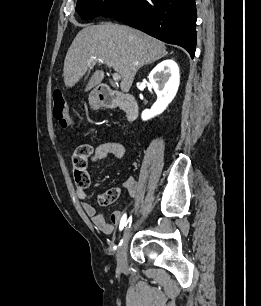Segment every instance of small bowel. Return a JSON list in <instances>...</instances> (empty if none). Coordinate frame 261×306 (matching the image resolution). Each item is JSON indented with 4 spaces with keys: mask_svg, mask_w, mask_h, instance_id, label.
Wrapping results in <instances>:
<instances>
[{
    "mask_svg": "<svg viewBox=\"0 0 261 306\" xmlns=\"http://www.w3.org/2000/svg\"><path fill=\"white\" fill-rule=\"evenodd\" d=\"M90 156L91 160L94 162L110 156H113L117 159H123L126 156V148L117 142H107L98 145L95 149H92ZM74 178L76 182V195L82 201V207L86 215L91 219L96 228L106 234H111L118 223H120L124 215L123 211L115 210L111 214L110 221H108L106 217L103 214L98 213L96 208L88 201L87 188L90 184V178L86 171V167L80 169L74 168ZM124 187L130 193L131 197L136 196L138 191V184L135 178H127L124 182ZM103 194H101V196Z\"/></svg>",
    "mask_w": 261,
    "mask_h": 306,
    "instance_id": "small-bowel-1",
    "label": "small bowel"
}]
</instances>
